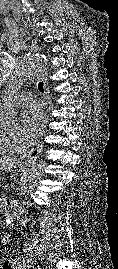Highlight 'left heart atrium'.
<instances>
[{
	"label": "left heart atrium",
	"instance_id": "1",
	"mask_svg": "<svg viewBox=\"0 0 118 269\" xmlns=\"http://www.w3.org/2000/svg\"><path fill=\"white\" fill-rule=\"evenodd\" d=\"M48 116L45 105L39 101L31 102L22 114V122L27 134L37 138L44 130Z\"/></svg>",
	"mask_w": 118,
	"mask_h": 269
}]
</instances>
